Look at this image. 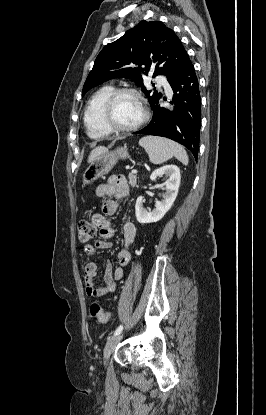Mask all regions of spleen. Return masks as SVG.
I'll return each instance as SVG.
<instances>
[{"label":"spleen","mask_w":266,"mask_h":415,"mask_svg":"<svg viewBox=\"0 0 266 415\" xmlns=\"http://www.w3.org/2000/svg\"><path fill=\"white\" fill-rule=\"evenodd\" d=\"M139 145L145 149L149 155L150 162L153 164H162L172 157L177 158L184 165L189 163L185 149L169 139L146 136L139 140Z\"/></svg>","instance_id":"3e777b00"}]
</instances>
